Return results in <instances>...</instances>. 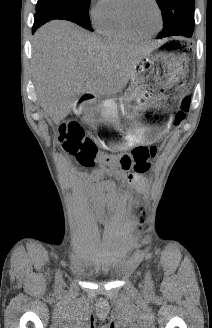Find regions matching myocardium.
<instances>
[{"label": "myocardium", "mask_w": 212, "mask_h": 328, "mask_svg": "<svg viewBox=\"0 0 212 328\" xmlns=\"http://www.w3.org/2000/svg\"><path fill=\"white\" fill-rule=\"evenodd\" d=\"M134 2V0H123L122 3V16L123 19L126 23V25L135 33L137 34H148L147 32L142 31L141 29H139L135 23L132 20L131 17V13H130V8H131V4ZM151 2L153 3V5L155 6L158 16H159V25L158 27L154 30V32H158L163 25V13H162V9L160 7V4L158 3L157 0H151Z\"/></svg>", "instance_id": "f54148a6"}]
</instances>
